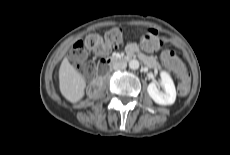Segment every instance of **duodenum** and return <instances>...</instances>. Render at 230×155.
<instances>
[{
  "instance_id": "duodenum-1",
  "label": "duodenum",
  "mask_w": 230,
  "mask_h": 155,
  "mask_svg": "<svg viewBox=\"0 0 230 155\" xmlns=\"http://www.w3.org/2000/svg\"><path fill=\"white\" fill-rule=\"evenodd\" d=\"M135 55H136V52L128 51V53L125 57L109 56V57L105 58L99 66V75H103L109 69V67L112 66L113 64H115L117 62L124 61V60H129L132 57H134ZM94 89H95V86L93 85L91 87V90H94Z\"/></svg>"
}]
</instances>
